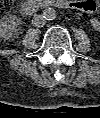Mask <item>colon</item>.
I'll use <instances>...</instances> for the list:
<instances>
[{
    "label": "colon",
    "instance_id": "5ec220e1",
    "mask_svg": "<svg viewBox=\"0 0 100 118\" xmlns=\"http://www.w3.org/2000/svg\"><path fill=\"white\" fill-rule=\"evenodd\" d=\"M88 2L81 4L87 11L97 12V2L95 0H86ZM14 0H0V4L3 10H8L13 5ZM93 23L96 24L97 20L93 19Z\"/></svg>",
    "mask_w": 100,
    "mask_h": 118
}]
</instances>
